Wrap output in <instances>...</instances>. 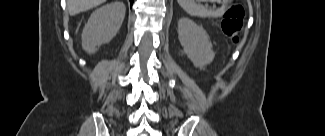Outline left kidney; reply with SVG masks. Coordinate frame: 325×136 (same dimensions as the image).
Returning <instances> with one entry per match:
<instances>
[{"label":"left kidney","mask_w":325,"mask_h":136,"mask_svg":"<svg viewBox=\"0 0 325 136\" xmlns=\"http://www.w3.org/2000/svg\"><path fill=\"white\" fill-rule=\"evenodd\" d=\"M178 38L183 46L184 53L195 67L203 69L213 61L215 54L212 50V44L202 26L183 17L178 21Z\"/></svg>","instance_id":"1"}]
</instances>
